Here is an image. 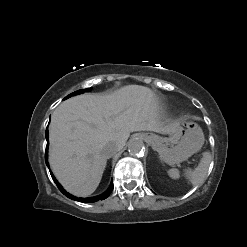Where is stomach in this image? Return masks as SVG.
<instances>
[{
    "mask_svg": "<svg viewBox=\"0 0 247 247\" xmlns=\"http://www.w3.org/2000/svg\"><path fill=\"white\" fill-rule=\"evenodd\" d=\"M153 148L162 161L169 165L187 160L198 152L205 138L201 127L193 121H179L169 137L149 135Z\"/></svg>",
    "mask_w": 247,
    "mask_h": 247,
    "instance_id": "obj_1",
    "label": "stomach"
}]
</instances>
